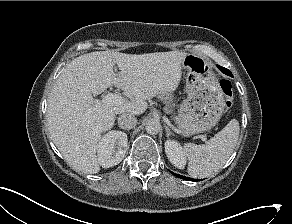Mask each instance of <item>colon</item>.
I'll use <instances>...</instances> for the list:
<instances>
[{"mask_svg":"<svg viewBox=\"0 0 292 224\" xmlns=\"http://www.w3.org/2000/svg\"><path fill=\"white\" fill-rule=\"evenodd\" d=\"M220 88L225 97V105L227 108L231 107L233 101V87L229 80L223 79L220 81Z\"/></svg>","mask_w":292,"mask_h":224,"instance_id":"1","label":"colon"}]
</instances>
